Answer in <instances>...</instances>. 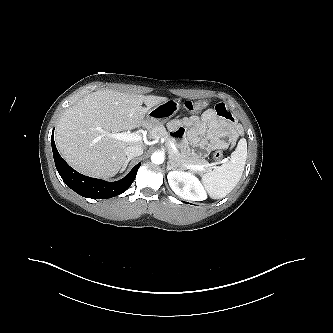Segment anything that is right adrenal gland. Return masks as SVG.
Segmentation results:
<instances>
[{
  "mask_svg": "<svg viewBox=\"0 0 333 333\" xmlns=\"http://www.w3.org/2000/svg\"><path fill=\"white\" fill-rule=\"evenodd\" d=\"M132 159H133V157H129V158H127V159L125 160V163H124L122 169H125V168L127 167L128 163H129Z\"/></svg>",
  "mask_w": 333,
  "mask_h": 333,
  "instance_id": "1",
  "label": "right adrenal gland"
}]
</instances>
